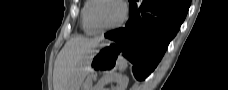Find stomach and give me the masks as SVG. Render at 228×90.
<instances>
[{
  "label": "stomach",
  "instance_id": "obj_1",
  "mask_svg": "<svg viewBox=\"0 0 228 90\" xmlns=\"http://www.w3.org/2000/svg\"><path fill=\"white\" fill-rule=\"evenodd\" d=\"M121 56H118L111 42H103L98 49H92L76 66L67 84L66 90H80L86 76L103 68L118 66Z\"/></svg>",
  "mask_w": 228,
  "mask_h": 90
}]
</instances>
